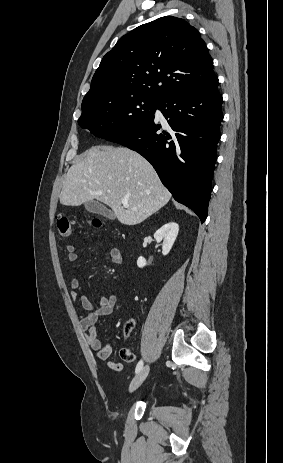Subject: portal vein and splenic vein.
Masks as SVG:
<instances>
[{
    "label": "portal vein and splenic vein",
    "instance_id": "portal-vein-and-splenic-vein-1",
    "mask_svg": "<svg viewBox=\"0 0 283 463\" xmlns=\"http://www.w3.org/2000/svg\"><path fill=\"white\" fill-rule=\"evenodd\" d=\"M121 203H122V205H123L124 207H128V206H129V205H128V200H126V199H122V200H121Z\"/></svg>",
    "mask_w": 283,
    "mask_h": 463
}]
</instances>
